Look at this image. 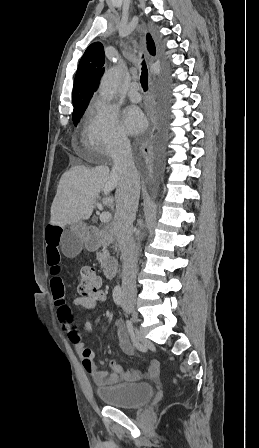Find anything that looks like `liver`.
Wrapping results in <instances>:
<instances>
[{
    "label": "liver",
    "mask_w": 259,
    "mask_h": 448,
    "mask_svg": "<svg viewBox=\"0 0 259 448\" xmlns=\"http://www.w3.org/2000/svg\"><path fill=\"white\" fill-rule=\"evenodd\" d=\"M117 174H112L108 166L84 168L75 166L60 178L57 194L51 206L50 224L52 226H70L82 220H89L96 198L103 192V206L114 210L119 182ZM117 188L115 196L110 192Z\"/></svg>",
    "instance_id": "obj_1"
}]
</instances>
